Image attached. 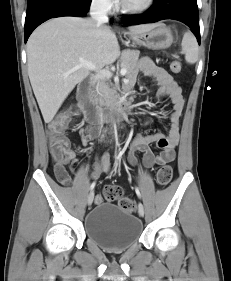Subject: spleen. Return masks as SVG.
<instances>
[{
    "mask_svg": "<svg viewBox=\"0 0 231 281\" xmlns=\"http://www.w3.org/2000/svg\"><path fill=\"white\" fill-rule=\"evenodd\" d=\"M181 46L185 53L186 62L189 64L196 63L198 60V44L192 33H184Z\"/></svg>",
    "mask_w": 231,
    "mask_h": 281,
    "instance_id": "obj_1",
    "label": "spleen"
}]
</instances>
